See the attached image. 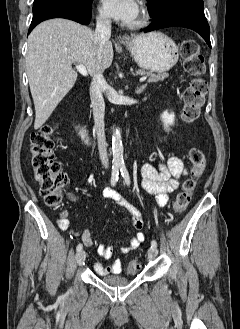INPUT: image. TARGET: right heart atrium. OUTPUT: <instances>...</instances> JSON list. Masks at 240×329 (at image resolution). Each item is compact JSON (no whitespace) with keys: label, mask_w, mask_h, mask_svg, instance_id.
I'll use <instances>...</instances> for the list:
<instances>
[{"label":"right heart atrium","mask_w":240,"mask_h":329,"mask_svg":"<svg viewBox=\"0 0 240 329\" xmlns=\"http://www.w3.org/2000/svg\"><path fill=\"white\" fill-rule=\"evenodd\" d=\"M97 19L100 23H103V24L109 23L108 17L101 11L98 13Z\"/></svg>","instance_id":"d8ad5b80"}]
</instances>
